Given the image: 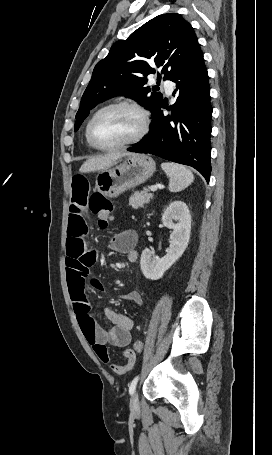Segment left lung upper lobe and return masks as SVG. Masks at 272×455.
<instances>
[{"label": "left lung upper lobe", "mask_w": 272, "mask_h": 455, "mask_svg": "<svg viewBox=\"0 0 272 455\" xmlns=\"http://www.w3.org/2000/svg\"><path fill=\"white\" fill-rule=\"evenodd\" d=\"M202 55L192 26L179 14L151 19L128 39L113 44L107 57L97 63L76 114L75 131L92 108L114 96L134 97L153 112L163 98L154 87H145L147 76L156 72L154 67L169 80Z\"/></svg>", "instance_id": "5c2ea615"}]
</instances>
